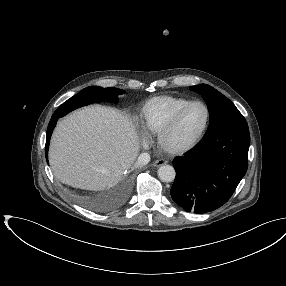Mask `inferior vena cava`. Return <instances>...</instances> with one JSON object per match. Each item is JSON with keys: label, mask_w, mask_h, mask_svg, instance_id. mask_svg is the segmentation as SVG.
<instances>
[{"label": "inferior vena cava", "mask_w": 286, "mask_h": 286, "mask_svg": "<svg viewBox=\"0 0 286 286\" xmlns=\"http://www.w3.org/2000/svg\"><path fill=\"white\" fill-rule=\"evenodd\" d=\"M149 161H150V155L147 152H144L138 156V158L135 162V165L136 166H144V165L148 164Z\"/></svg>", "instance_id": "1"}]
</instances>
